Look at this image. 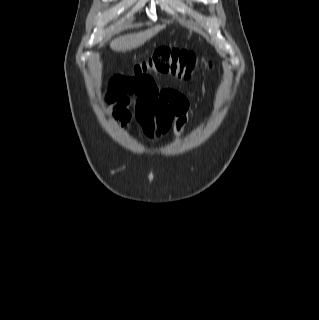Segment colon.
<instances>
[{"mask_svg": "<svg viewBox=\"0 0 319 320\" xmlns=\"http://www.w3.org/2000/svg\"><path fill=\"white\" fill-rule=\"evenodd\" d=\"M199 60L193 52L161 47L148 58L138 62L133 69L134 78L115 76L111 84L118 88L129 86L147 77L150 73L171 75L183 80H190L199 66ZM207 64L206 60L201 62ZM136 119L143 134L150 140L159 139L168 133L170 127L160 123L149 113H137Z\"/></svg>", "mask_w": 319, "mask_h": 320, "instance_id": "obj_1", "label": "colon"}]
</instances>
